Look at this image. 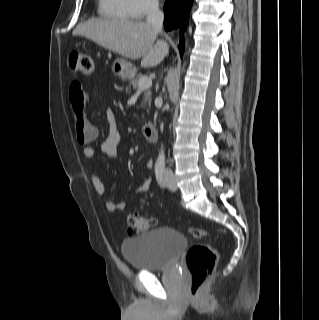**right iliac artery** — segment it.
<instances>
[{"instance_id": "right-iliac-artery-1", "label": "right iliac artery", "mask_w": 319, "mask_h": 320, "mask_svg": "<svg viewBox=\"0 0 319 320\" xmlns=\"http://www.w3.org/2000/svg\"><path fill=\"white\" fill-rule=\"evenodd\" d=\"M155 174H156V179H157L158 183L163 187L164 186V180H163L164 168L163 167H156Z\"/></svg>"}]
</instances>
